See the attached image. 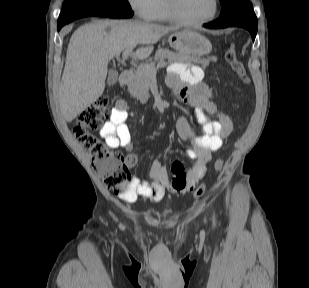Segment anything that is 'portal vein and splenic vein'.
<instances>
[{"instance_id":"portal-vein-and-splenic-vein-1","label":"portal vein and splenic vein","mask_w":309,"mask_h":288,"mask_svg":"<svg viewBox=\"0 0 309 288\" xmlns=\"http://www.w3.org/2000/svg\"><path fill=\"white\" fill-rule=\"evenodd\" d=\"M133 48H134V46H129V47H127V48L125 49V51H124V53H123V55H122V61H123V62L129 57V55H130V53L132 52ZM141 65L143 66V64H141ZM166 65H167V63H166L165 61H162V62H159V63L157 64V68L164 67V66H166ZM143 67H144L151 75H155V74H156L157 68H155V67H150V66H148V65H145V66H143Z\"/></svg>"}]
</instances>
